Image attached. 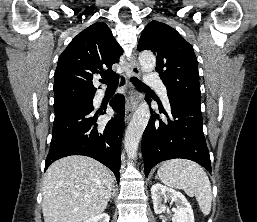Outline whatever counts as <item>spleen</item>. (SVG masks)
<instances>
[{"label":"spleen","mask_w":257,"mask_h":222,"mask_svg":"<svg viewBox=\"0 0 257 222\" xmlns=\"http://www.w3.org/2000/svg\"><path fill=\"white\" fill-rule=\"evenodd\" d=\"M157 176L165 185L195 196L202 213L209 215L212 189L209 178L200 165L184 159L168 160L160 165Z\"/></svg>","instance_id":"1"}]
</instances>
